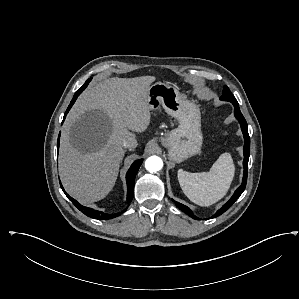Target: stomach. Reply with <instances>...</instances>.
Here are the masks:
<instances>
[{
  "label": "stomach",
  "instance_id": "0dacf381",
  "mask_svg": "<svg viewBox=\"0 0 299 299\" xmlns=\"http://www.w3.org/2000/svg\"><path fill=\"white\" fill-rule=\"evenodd\" d=\"M151 110L162 106L167 114L177 119L178 128L162 139L168 149L169 159L179 163L198 154L202 147L201 113L199 107L186 99L177 88L162 82L149 87Z\"/></svg>",
  "mask_w": 299,
  "mask_h": 299
}]
</instances>
